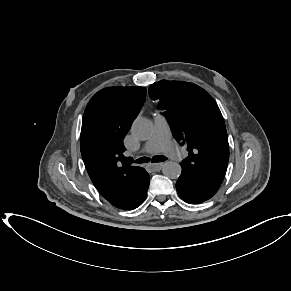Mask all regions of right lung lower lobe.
<instances>
[{"mask_svg":"<svg viewBox=\"0 0 291 291\" xmlns=\"http://www.w3.org/2000/svg\"><path fill=\"white\" fill-rule=\"evenodd\" d=\"M148 187H149V174L144 169L143 176L141 177V185H140L139 193L134 198H132L129 202L121 203L119 206H115V207L124 209V210H133L137 208L145 200L147 196Z\"/></svg>","mask_w":291,"mask_h":291,"instance_id":"1","label":"right lung lower lobe"}]
</instances>
